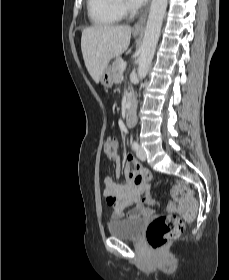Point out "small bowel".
Returning a JSON list of instances; mask_svg holds the SVG:
<instances>
[{"label":"small bowel","mask_w":229,"mask_h":280,"mask_svg":"<svg viewBox=\"0 0 229 280\" xmlns=\"http://www.w3.org/2000/svg\"><path fill=\"white\" fill-rule=\"evenodd\" d=\"M113 159L115 161L116 178H120L122 172H124L127 181L125 184H121L110 176L104 179V196L113 209L112 218H121L126 208L132 205L133 208L128 212L130 218L152 217L153 210L148 206L152 201L150 196V184L145 181L141 184H136L134 182L137 175L144 173L142 163L132 154H128L127 164L124 170H122L119 156L115 154ZM132 165L136 170L131 169Z\"/></svg>","instance_id":"small-bowel-1"}]
</instances>
